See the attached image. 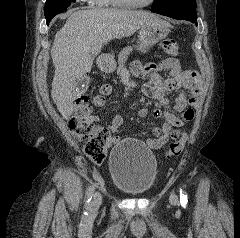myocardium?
<instances>
[{
	"label": "myocardium",
	"mask_w": 240,
	"mask_h": 238,
	"mask_svg": "<svg viewBox=\"0 0 240 238\" xmlns=\"http://www.w3.org/2000/svg\"><path fill=\"white\" fill-rule=\"evenodd\" d=\"M114 1L118 6L125 7V8H143L151 5L154 2V0H148L145 3H136L128 0H114Z\"/></svg>",
	"instance_id": "obj_1"
}]
</instances>
